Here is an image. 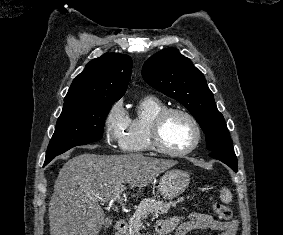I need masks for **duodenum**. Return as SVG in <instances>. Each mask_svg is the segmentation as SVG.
Instances as JSON below:
<instances>
[{
	"mask_svg": "<svg viewBox=\"0 0 283 235\" xmlns=\"http://www.w3.org/2000/svg\"><path fill=\"white\" fill-rule=\"evenodd\" d=\"M126 221L125 220H117L114 224V229L116 233H121L125 227H126Z\"/></svg>",
	"mask_w": 283,
	"mask_h": 235,
	"instance_id": "1",
	"label": "duodenum"
}]
</instances>
